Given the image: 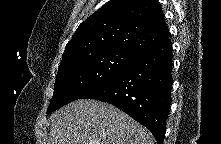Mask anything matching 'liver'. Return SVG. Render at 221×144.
Masks as SVG:
<instances>
[{
  "label": "liver",
  "mask_w": 221,
  "mask_h": 144,
  "mask_svg": "<svg viewBox=\"0 0 221 144\" xmlns=\"http://www.w3.org/2000/svg\"><path fill=\"white\" fill-rule=\"evenodd\" d=\"M48 144H154L150 132L108 103L81 99L52 113Z\"/></svg>",
  "instance_id": "obj_1"
}]
</instances>
